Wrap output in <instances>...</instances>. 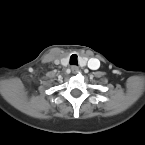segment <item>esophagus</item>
Returning <instances> with one entry per match:
<instances>
[{"label": "esophagus", "mask_w": 145, "mask_h": 145, "mask_svg": "<svg viewBox=\"0 0 145 145\" xmlns=\"http://www.w3.org/2000/svg\"><path fill=\"white\" fill-rule=\"evenodd\" d=\"M71 70H72L73 73L79 72V68L75 65L71 67Z\"/></svg>", "instance_id": "esophagus-1"}]
</instances>
